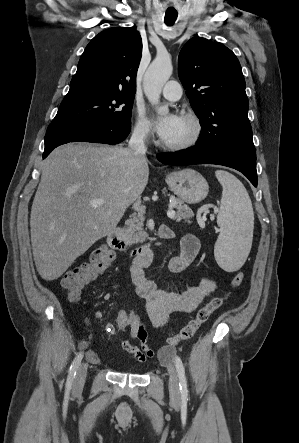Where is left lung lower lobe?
Returning <instances> with one entry per match:
<instances>
[{"label": "left lung lower lobe", "instance_id": "left-lung-lower-lobe-1", "mask_svg": "<svg viewBox=\"0 0 299 443\" xmlns=\"http://www.w3.org/2000/svg\"><path fill=\"white\" fill-rule=\"evenodd\" d=\"M157 159L166 165L217 164L234 168L257 186L256 151L254 148L210 150L194 146L178 151L160 153Z\"/></svg>", "mask_w": 299, "mask_h": 443}]
</instances>
